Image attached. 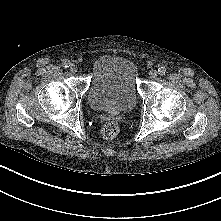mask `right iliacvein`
<instances>
[{"label":"right iliac vein","mask_w":221,"mask_h":221,"mask_svg":"<svg viewBox=\"0 0 221 221\" xmlns=\"http://www.w3.org/2000/svg\"><path fill=\"white\" fill-rule=\"evenodd\" d=\"M77 66L76 65H74V64H72V65H70V68H69V70L72 72V73H75V72H77Z\"/></svg>","instance_id":"obj_1"}]
</instances>
